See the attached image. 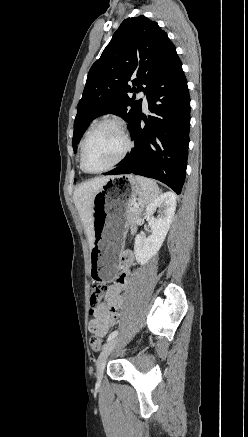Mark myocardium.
I'll return each instance as SVG.
<instances>
[{
	"instance_id": "myocardium-1",
	"label": "myocardium",
	"mask_w": 248,
	"mask_h": 437,
	"mask_svg": "<svg viewBox=\"0 0 248 437\" xmlns=\"http://www.w3.org/2000/svg\"><path fill=\"white\" fill-rule=\"evenodd\" d=\"M104 126H113L115 128H117L125 141V148L122 151V153L120 154V156L113 162L111 163L109 166L101 169V170H97V171H91L87 168L86 164H85V151H86V146L88 141L90 140V138L102 127ZM133 148V141L132 138L130 136V133L126 127V125L118 120V119H113V118H108V119H104L100 122H98L92 129L91 131L86 135V137L83 139L82 144H81V149H80V165L81 168L84 172L88 173V174H100L106 171H109L111 169H113L116 165H118L120 162H122L127 155L131 152Z\"/></svg>"
}]
</instances>
